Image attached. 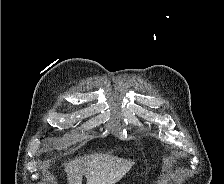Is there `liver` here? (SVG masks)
I'll list each match as a JSON object with an SVG mask.
<instances>
[{
	"label": "liver",
	"mask_w": 224,
	"mask_h": 184,
	"mask_svg": "<svg viewBox=\"0 0 224 184\" xmlns=\"http://www.w3.org/2000/svg\"><path fill=\"white\" fill-rule=\"evenodd\" d=\"M134 163L109 154H91L65 163L69 184H82L83 175L87 184H115L131 169Z\"/></svg>",
	"instance_id": "6515ba94"
}]
</instances>
